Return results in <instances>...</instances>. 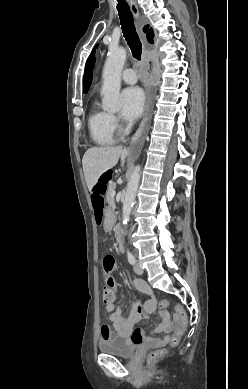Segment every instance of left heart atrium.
Here are the masks:
<instances>
[{"mask_svg":"<svg viewBox=\"0 0 248 389\" xmlns=\"http://www.w3.org/2000/svg\"><path fill=\"white\" fill-rule=\"evenodd\" d=\"M145 97L136 86L127 87L121 93L122 116L127 121H134L143 112Z\"/></svg>","mask_w":248,"mask_h":389,"instance_id":"obj_1","label":"left heart atrium"}]
</instances>
